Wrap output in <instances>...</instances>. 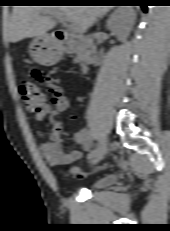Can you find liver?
Returning a JSON list of instances; mask_svg holds the SVG:
<instances>
[{"instance_id": "6515ba94", "label": "liver", "mask_w": 170, "mask_h": 231, "mask_svg": "<svg viewBox=\"0 0 170 231\" xmlns=\"http://www.w3.org/2000/svg\"><path fill=\"white\" fill-rule=\"evenodd\" d=\"M111 8L112 6H14L5 36L12 43L23 38L45 36L56 24L50 15L58 14L74 24L78 33L83 34L98 17Z\"/></svg>"}]
</instances>
